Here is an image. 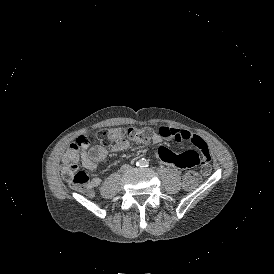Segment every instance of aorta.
I'll return each mask as SVG.
<instances>
[{"instance_id": "obj_1", "label": "aorta", "mask_w": 274, "mask_h": 274, "mask_svg": "<svg viewBox=\"0 0 274 274\" xmlns=\"http://www.w3.org/2000/svg\"><path fill=\"white\" fill-rule=\"evenodd\" d=\"M141 164H142V165H144V164H145V162H144V161H141Z\"/></svg>"}]
</instances>
